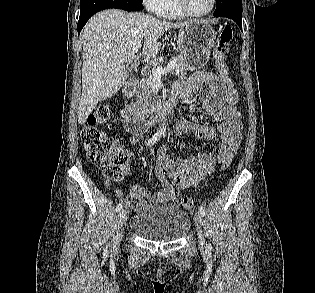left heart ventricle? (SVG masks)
I'll return each mask as SVG.
<instances>
[{
	"label": "left heart ventricle",
	"instance_id": "obj_1",
	"mask_svg": "<svg viewBox=\"0 0 315 293\" xmlns=\"http://www.w3.org/2000/svg\"><path fill=\"white\" fill-rule=\"evenodd\" d=\"M189 8L195 13L207 11L211 5V0H187Z\"/></svg>",
	"mask_w": 315,
	"mask_h": 293
}]
</instances>
